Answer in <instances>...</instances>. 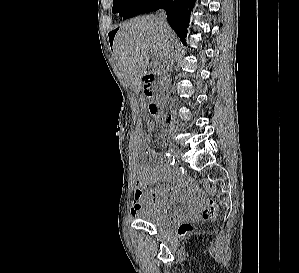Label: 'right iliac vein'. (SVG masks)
<instances>
[{"label": "right iliac vein", "instance_id": "obj_1", "mask_svg": "<svg viewBox=\"0 0 299 273\" xmlns=\"http://www.w3.org/2000/svg\"><path fill=\"white\" fill-rule=\"evenodd\" d=\"M167 148H168V151L171 153V155H173L174 157L176 158H180L181 157V151L180 149L175 146L174 144H167Z\"/></svg>", "mask_w": 299, "mask_h": 273}]
</instances>
